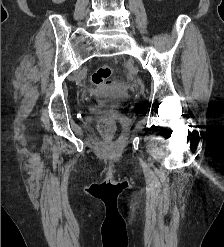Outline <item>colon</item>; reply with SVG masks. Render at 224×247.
<instances>
[{
	"instance_id": "colon-1",
	"label": "colon",
	"mask_w": 224,
	"mask_h": 247,
	"mask_svg": "<svg viewBox=\"0 0 224 247\" xmlns=\"http://www.w3.org/2000/svg\"><path fill=\"white\" fill-rule=\"evenodd\" d=\"M91 79L95 85L104 87L106 89L112 88L114 84L112 80V69L107 64L99 66L93 72ZM99 129L104 133H108L113 129V125L109 121H102L99 124Z\"/></svg>"
}]
</instances>
